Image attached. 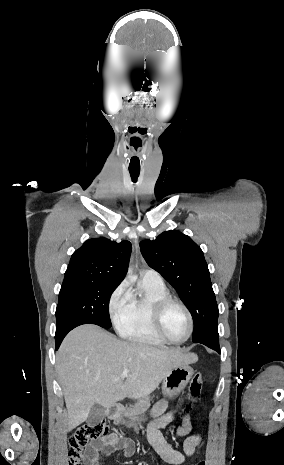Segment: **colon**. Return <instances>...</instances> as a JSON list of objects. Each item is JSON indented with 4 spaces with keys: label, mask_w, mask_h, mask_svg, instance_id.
Segmentation results:
<instances>
[{
    "label": "colon",
    "mask_w": 284,
    "mask_h": 465,
    "mask_svg": "<svg viewBox=\"0 0 284 465\" xmlns=\"http://www.w3.org/2000/svg\"><path fill=\"white\" fill-rule=\"evenodd\" d=\"M203 375L201 373H196L193 376L190 388L189 395L192 399L199 401L202 397V383ZM190 410H193V407H190ZM184 420H188L189 416L184 415ZM193 424L191 421H181L179 425H174L172 427V432L174 434H179L181 430H191ZM106 425L103 422H96L90 426L78 429L70 438L71 451H70V460L68 465H81V447L83 444L88 443L91 440L98 439L105 435ZM182 436L186 435L185 431L181 432ZM197 465H206L205 462H198Z\"/></svg>",
    "instance_id": "1"
}]
</instances>
